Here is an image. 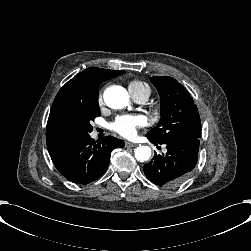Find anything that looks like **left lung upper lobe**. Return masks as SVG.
Returning <instances> with one entry per match:
<instances>
[{
	"label": "left lung upper lobe",
	"instance_id": "5c2ea615",
	"mask_svg": "<svg viewBox=\"0 0 251 251\" xmlns=\"http://www.w3.org/2000/svg\"><path fill=\"white\" fill-rule=\"evenodd\" d=\"M161 100V120L147 136L156 142L201 137V120L189 92L168 76L150 78Z\"/></svg>",
	"mask_w": 251,
	"mask_h": 251
}]
</instances>
